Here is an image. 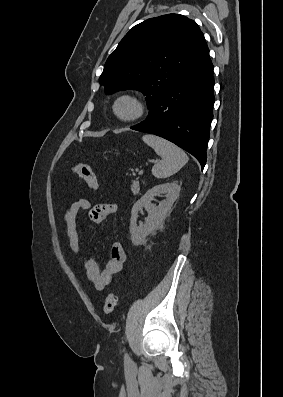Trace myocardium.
<instances>
[{
	"instance_id": "f54148a6",
	"label": "myocardium",
	"mask_w": 283,
	"mask_h": 397,
	"mask_svg": "<svg viewBox=\"0 0 283 397\" xmlns=\"http://www.w3.org/2000/svg\"><path fill=\"white\" fill-rule=\"evenodd\" d=\"M124 100L132 101L136 106L135 112L130 116H122L117 111L118 104ZM112 111L118 120L122 122H134L141 119L145 115L147 111V104L142 97L135 93H123L114 100Z\"/></svg>"
}]
</instances>
